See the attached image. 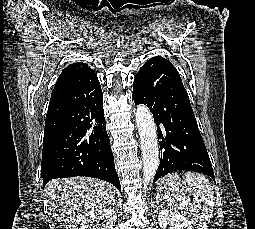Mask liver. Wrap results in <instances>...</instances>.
<instances>
[{
  "label": "liver",
  "mask_w": 255,
  "mask_h": 229,
  "mask_svg": "<svg viewBox=\"0 0 255 229\" xmlns=\"http://www.w3.org/2000/svg\"><path fill=\"white\" fill-rule=\"evenodd\" d=\"M114 194L111 184L95 178L55 179L45 187L49 210L66 224V229H75L90 213L108 206Z\"/></svg>",
  "instance_id": "obj_1"
}]
</instances>
